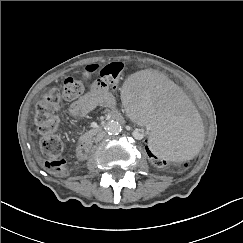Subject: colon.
Listing matches in <instances>:
<instances>
[{"mask_svg":"<svg viewBox=\"0 0 243 243\" xmlns=\"http://www.w3.org/2000/svg\"><path fill=\"white\" fill-rule=\"evenodd\" d=\"M124 65L121 62H112L100 67L91 65L84 69L80 77H68L63 81L62 89H51L41 100L37 102L34 109V122L37 131L41 135L40 149L45 157V168L52 174L64 175L66 173L65 160L62 156L64 142L55 135L59 125V118L56 115L62 99H77L87 86L100 83L106 86L115 87L120 79ZM142 151L152 165L158 168L172 167L175 171L191 169L193 161L170 162L168 159L157 157L151 150L147 139L139 141Z\"/></svg>","mask_w":243,"mask_h":243,"instance_id":"obj_1","label":"colon"}]
</instances>
